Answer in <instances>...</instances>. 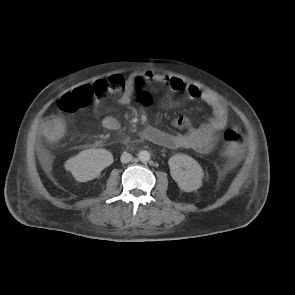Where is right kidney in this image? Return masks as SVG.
I'll list each match as a JSON object with an SVG mask.
<instances>
[{"mask_svg":"<svg viewBox=\"0 0 295 295\" xmlns=\"http://www.w3.org/2000/svg\"><path fill=\"white\" fill-rule=\"evenodd\" d=\"M113 161L111 152L106 149H87L69 158L65 168L77 181L86 182L97 178Z\"/></svg>","mask_w":295,"mask_h":295,"instance_id":"ca27d5eb","label":"right kidney"}]
</instances>
